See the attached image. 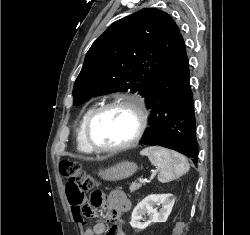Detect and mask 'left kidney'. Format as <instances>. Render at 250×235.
<instances>
[{
	"mask_svg": "<svg viewBox=\"0 0 250 235\" xmlns=\"http://www.w3.org/2000/svg\"><path fill=\"white\" fill-rule=\"evenodd\" d=\"M175 198L172 194H151L143 199L132 212L130 225L139 230L145 229L151 223L166 222L170 215ZM155 205H161L159 212ZM147 214L150 220L146 222H140L142 216Z\"/></svg>",
	"mask_w": 250,
	"mask_h": 235,
	"instance_id": "left-kidney-1",
	"label": "left kidney"
}]
</instances>
